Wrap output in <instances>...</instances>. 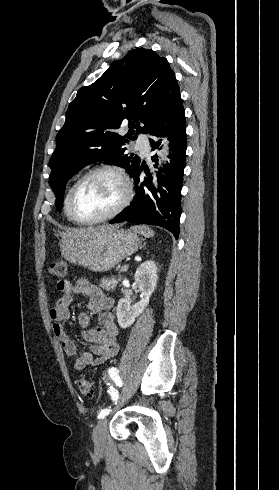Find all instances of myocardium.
I'll use <instances>...</instances> for the list:
<instances>
[{
  "mask_svg": "<svg viewBox=\"0 0 279 490\" xmlns=\"http://www.w3.org/2000/svg\"><path fill=\"white\" fill-rule=\"evenodd\" d=\"M102 173H108L113 176H115L122 184L124 194L122 199L119 201V203L109 212L105 213L102 216H99L97 218L91 219V220H81L76 216V210H75V202H76V197L77 194L82 186V184L90 177L102 174ZM133 196V191L132 187L130 184V181L128 179V176L126 172L124 171L123 168L116 166V165H111V164H101L95 167L90 168L89 170L85 171L82 175L78 177V179L75 181L72 190H71V195H70V203H69V209H70V214L72 219L80 224V225H90V224H96L100 222L107 221L109 219H112L119 215L129 204Z\"/></svg>",
  "mask_w": 279,
  "mask_h": 490,
  "instance_id": "1",
  "label": "myocardium"
}]
</instances>
